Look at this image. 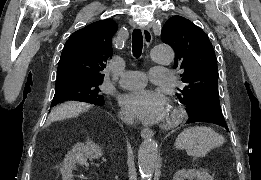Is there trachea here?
I'll list each match as a JSON object with an SVG mask.
<instances>
[{
  "instance_id": "3493384b",
  "label": "trachea",
  "mask_w": 261,
  "mask_h": 180,
  "mask_svg": "<svg viewBox=\"0 0 261 180\" xmlns=\"http://www.w3.org/2000/svg\"><path fill=\"white\" fill-rule=\"evenodd\" d=\"M143 49V36L141 30L135 28L132 33L133 56L139 58Z\"/></svg>"
}]
</instances>
